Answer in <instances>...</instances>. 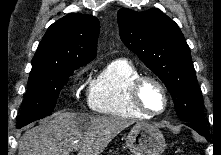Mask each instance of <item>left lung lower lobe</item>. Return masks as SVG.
I'll return each instance as SVG.
<instances>
[{
  "label": "left lung lower lobe",
  "instance_id": "1",
  "mask_svg": "<svg viewBox=\"0 0 221 155\" xmlns=\"http://www.w3.org/2000/svg\"><path fill=\"white\" fill-rule=\"evenodd\" d=\"M185 125L193 128L197 131L200 135L205 136L208 141H210L209 131L206 128L205 124H196L191 122H184Z\"/></svg>",
  "mask_w": 221,
  "mask_h": 155
}]
</instances>
